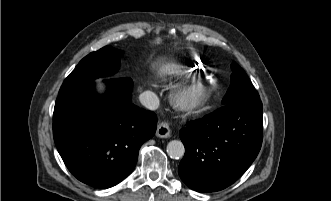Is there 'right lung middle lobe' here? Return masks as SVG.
<instances>
[{
    "label": "right lung middle lobe",
    "instance_id": "1",
    "mask_svg": "<svg viewBox=\"0 0 331 201\" xmlns=\"http://www.w3.org/2000/svg\"><path fill=\"white\" fill-rule=\"evenodd\" d=\"M121 51L105 46L83 58L63 82L59 96L91 83L92 80L116 73L120 65Z\"/></svg>",
    "mask_w": 331,
    "mask_h": 201
}]
</instances>
